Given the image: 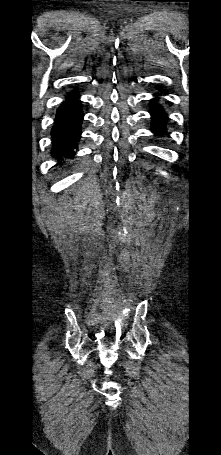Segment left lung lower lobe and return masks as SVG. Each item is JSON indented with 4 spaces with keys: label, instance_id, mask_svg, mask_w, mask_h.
I'll return each instance as SVG.
<instances>
[{
    "label": "left lung lower lobe",
    "instance_id": "obj_1",
    "mask_svg": "<svg viewBox=\"0 0 221 455\" xmlns=\"http://www.w3.org/2000/svg\"><path fill=\"white\" fill-rule=\"evenodd\" d=\"M150 113L154 124L152 131L156 134L162 135L165 132V128L162 126L161 122L166 120V115L162 107L158 105L157 99L152 100Z\"/></svg>",
    "mask_w": 221,
    "mask_h": 455
}]
</instances>
